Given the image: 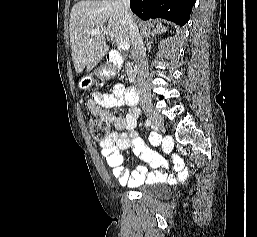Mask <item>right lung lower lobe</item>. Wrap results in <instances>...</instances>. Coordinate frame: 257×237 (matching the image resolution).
<instances>
[{
	"instance_id": "right-lung-lower-lobe-1",
	"label": "right lung lower lobe",
	"mask_w": 257,
	"mask_h": 237,
	"mask_svg": "<svg viewBox=\"0 0 257 237\" xmlns=\"http://www.w3.org/2000/svg\"><path fill=\"white\" fill-rule=\"evenodd\" d=\"M196 0H130L131 10L141 19L164 18L179 26L188 22Z\"/></svg>"
}]
</instances>
